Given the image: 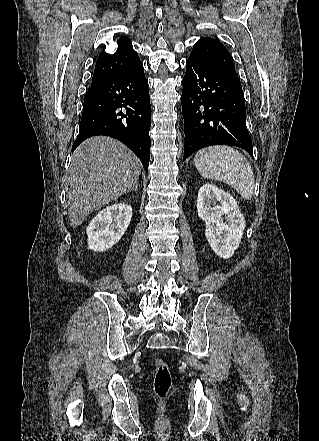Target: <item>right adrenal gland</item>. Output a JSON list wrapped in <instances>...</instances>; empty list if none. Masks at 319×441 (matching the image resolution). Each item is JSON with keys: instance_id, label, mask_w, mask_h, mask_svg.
<instances>
[{"instance_id": "obj_1", "label": "right adrenal gland", "mask_w": 319, "mask_h": 441, "mask_svg": "<svg viewBox=\"0 0 319 441\" xmlns=\"http://www.w3.org/2000/svg\"><path fill=\"white\" fill-rule=\"evenodd\" d=\"M134 190H135V191L138 190V183L135 185Z\"/></svg>"}]
</instances>
